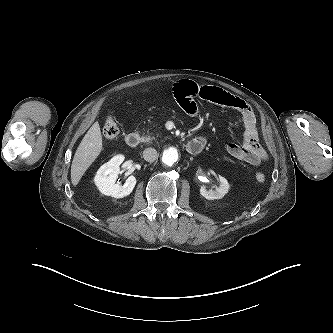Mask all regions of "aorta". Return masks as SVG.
<instances>
[{"label": "aorta", "instance_id": "762f6f07", "mask_svg": "<svg viewBox=\"0 0 333 333\" xmlns=\"http://www.w3.org/2000/svg\"><path fill=\"white\" fill-rule=\"evenodd\" d=\"M179 153L174 147H169L164 150L162 155V162L167 166H172L178 161Z\"/></svg>", "mask_w": 333, "mask_h": 333}]
</instances>
